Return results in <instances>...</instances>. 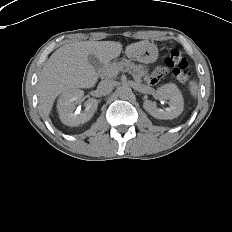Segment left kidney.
<instances>
[{
  "label": "left kidney",
  "mask_w": 232,
  "mask_h": 232,
  "mask_svg": "<svg viewBox=\"0 0 232 232\" xmlns=\"http://www.w3.org/2000/svg\"><path fill=\"white\" fill-rule=\"evenodd\" d=\"M156 96L159 99H168L169 107L159 109L155 103H145L144 108L151 116L166 120L174 119L183 112L184 100L175 84L169 83L159 87L156 91Z\"/></svg>",
  "instance_id": "left-kidney-1"
}]
</instances>
